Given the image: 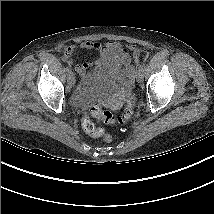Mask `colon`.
Returning <instances> with one entry per match:
<instances>
[{"instance_id": "obj_1", "label": "colon", "mask_w": 214, "mask_h": 214, "mask_svg": "<svg viewBox=\"0 0 214 214\" xmlns=\"http://www.w3.org/2000/svg\"><path fill=\"white\" fill-rule=\"evenodd\" d=\"M134 99L128 96L126 99V109L122 117L116 118L111 112L103 110L98 104H94L90 108V114L94 117L101 119L106 124H125L128 122L133 113ZM83 128L92 137H101L105 142H110L112 136L105 132L102 128H96L88 116L83 118Z\"/></svg>"}]
</instances>
